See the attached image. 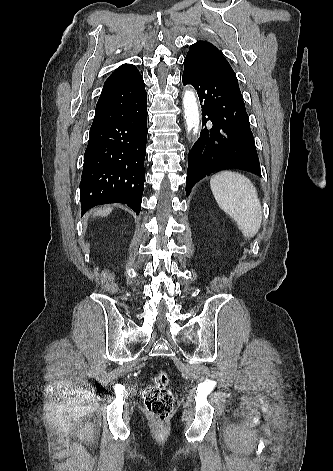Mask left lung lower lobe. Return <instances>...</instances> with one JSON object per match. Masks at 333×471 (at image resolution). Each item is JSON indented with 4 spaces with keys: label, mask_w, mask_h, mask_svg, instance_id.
Masks as SVG:
<instances>
[{
    "label": "left lung lower lobe",
    "mask_w": 333,
    "mask_h": 471,
    "mask_svg": "<svg viewBox=\"0 0 333 471\" xmlns=\"http://www.w3.org/2000/svg\"><path fill=\"white\" fill-rule=\"evenodd\" d=\"M182 82L197 90L203 126L189 152L186 195L197 180L220 170L236 168L260 176L243 97L212 63L197 55L187 54Z\"/></svg>",
    "instance_id": "1"
}]
</instances>
